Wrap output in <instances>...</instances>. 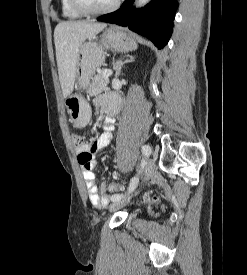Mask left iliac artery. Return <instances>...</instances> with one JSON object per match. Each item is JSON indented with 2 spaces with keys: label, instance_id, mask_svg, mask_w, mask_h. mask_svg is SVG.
I'll return each mask as SVG.
<instances>
[{
  "label": "left iliac artery",
  "instance_id": "left-iliac-artery-1",
  "mask_svg": "<svg viewBox=\"0 0 247 275\" xmlns=\"http://www.w3.org/2000/svg\"><path fill=\"white\" fill-rule=\"evenodd\" d=\"M142 152L144 154V156L148 157L151 153V148L150 146L148 145H144L142 146ZM137 183H138V177L137 176H134L131 181H130V184H129V187H128V192H132L136 186H137ZM123 194H114L111 196V201H117V200H120L123 198Z\"/></svg>",
  "mask_w": 247,
  "mask_h": 275
}]
</instances>
